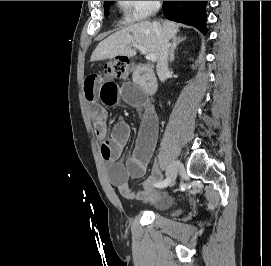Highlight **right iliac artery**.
<instances>
[{"mask_svg":"<svg viewBox=\"0 0 271 266\" xmlns=\"http://www.w3.org/2000/svg\"><path fill=\"white\" fill-rule=\"evenodd\" d=\"M168 182H169V178H166L165 180L156 183L155 186L159 187V188H162V187L167 186Z\"/></svg>","mask_w":271,"mask_h":266,"instance_id":"82829eb1","label":"right iliac artery"}]
</instances>
